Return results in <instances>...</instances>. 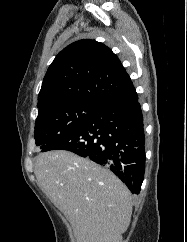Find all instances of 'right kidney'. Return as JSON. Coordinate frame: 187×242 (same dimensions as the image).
<instances>
[{
	"label": "right kidney",
	"mask_w": 187,
	"mask_h": 242,
	"mask_svg": "<svg viewBox=\"0 0 187 242\" xmlns=\"http://www.w3.org/2000/svg\"><path fill=\"white\" fill-rule=\"evenodd\" d=\"M122 238L120 237V240H121ZM115 242H122V241H115Z\"/></svg>",
	"instance_id": "obj_1"
}]
</instances>
